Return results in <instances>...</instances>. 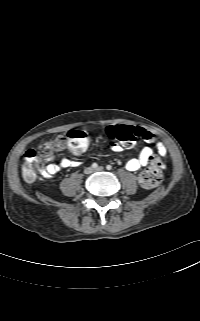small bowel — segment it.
Returning <instances> with one entry per match:
<instances>
[{"label": "small bowel", "instance_id": "small-bowel-1", "mask_svg": "<svg viewBox=\"0 0 200 321\" xmlns=\"http://www.w3.org/2000/svg\"><path fill=\"white\" fill-rule=\"evenodd\" d=\"M141 131L140 138H142L148 144H155L158 154L162 157L166 156L167 149L164 144L156 142V138L153 133L142 128L137 127ZM65 148V142L58 140L56 144V151H61ZM111 149L115 152H120L122 147L119 144L112 143ZM153 156V148L151 146H145L141 149L139 155L135 158H130L126 163V169L132 172L139 170L141 167L146 166ZM75 166V162L63 158L59 163L52 161V157L48 159V164L41 170V175L45 178H51L57 174L61 169L70 168Z\"/></svg>", "mask_w": 200, "mask_h": 321}]
</instances>
